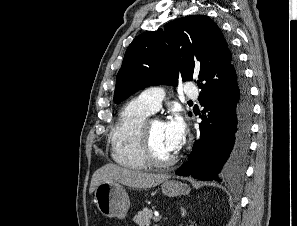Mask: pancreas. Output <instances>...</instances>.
<instances>
[{"label": "pancreas", "instance_id": "pancreas-1", "mask_svg": "<svg viewBox=\"0 0 297 226\" xmlns=\"http://www.w3.org/2000/svg\"><path fill=\"white\" fill-rule=\"evenodd\" d=\"M153 218V212L151 209L144 208L139 211L137 215L133 218V221L139 226H149L151 219Z\"/></svg>", "mask_w": 297, "mask_h": 226}]
</instances>
